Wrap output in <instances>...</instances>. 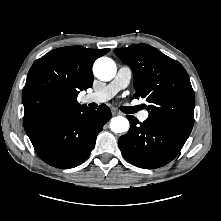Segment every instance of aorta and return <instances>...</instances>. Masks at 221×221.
I'll return each instance as SVG.
<instances>
[{"label": "aorta", "instance_id": "aorta-1", "mask_svg": "<svg viewBox=\"0 0 221 221\" xmlns=\"http://www.w3.org/2000/svg\"><path fill=\"white\" fill-rule=\"evenodd\" d=\"M95 76L102 81H110L116 75V64L108 57L97 59L93 66ZM110 128L114 133H123L129 129V121L122 117H113L110 122Z\"/></svg>", "mask_w": 221, "mask_h": 221}]
</instances>
